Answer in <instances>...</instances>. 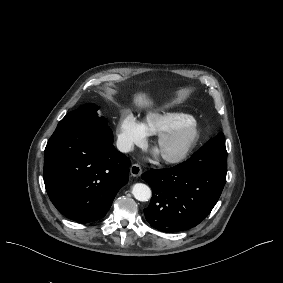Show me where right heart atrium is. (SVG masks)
Wrapping results in <instances>:
<instances>
[{
	"mask_svg": "<svg viewBox=\"0 0 283 283\" xmlns=\"http://www.w3.org/2000/svg\"><path fill=\"white\" fill-rule=\"evenodd\" d=\"M140 124L130 112H121L115 122V139L122 151L129 152L134 146H140L144 139L140 134Z\"/></svg>",
	"mask_w": 283,
	"mask_h": 283,
	"instance_id": "right-heart-atrium-1",
	"label": "right heart atrium"
}]
</instances>
